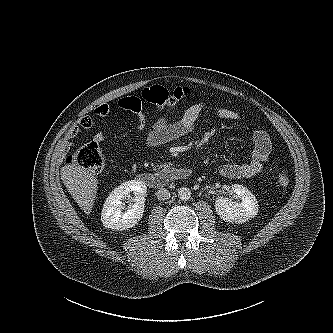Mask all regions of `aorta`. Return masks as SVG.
Segmentation results:
<instances>
[{
    "label": "aorta",
    "mask_w": 333,
    "mask_h": 333,
    "mask_svg": "<svg viewBox=\"0 0 333 333\" xmlns=\"http://www.w3.org/2000/svg\"><path fill=\"white\" fill-rule=\"evenodd\" d=\"M178 197L181 199V200H188L190 199L191 197V190L187 187H181L179 190H178Z\"/></svg>",
    "instance_id": "aorta-1"
}]
</instances>
